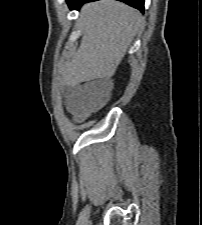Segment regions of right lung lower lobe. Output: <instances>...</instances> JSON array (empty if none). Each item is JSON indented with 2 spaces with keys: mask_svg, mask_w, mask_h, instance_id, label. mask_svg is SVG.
<instances>
[{
  "mask_svg": "<svg viewBox=\"0 0 202 225\" xmlns=\"http://www.w3.org/2000/svg\"><path fill=\"white\" fill-rule=\"evenodd\" d=\"M96 0H67V3L71 9H78L83 3L91 2ZM139 9L141 12L144 11V0H119Z\"/></svg>",
  "mask_w": 202,
  "mask_h": 225,
  "instance_id": "right-lung-lower-lobe-1",
  "label": "right lung lower lobe"
}]
</instances>
